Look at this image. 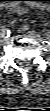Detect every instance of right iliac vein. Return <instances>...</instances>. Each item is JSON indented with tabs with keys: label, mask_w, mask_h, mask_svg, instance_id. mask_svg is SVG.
I'll list each match as a JSON object with an SVG mask.
<instances>
[{
	"label": "right iliac vein",
	"mask_w": 50,
	"mask_h": 111,
	"mask_svg": "<svg viewBox=\"0 0 50 111\" xmlns=\"http://www.w3.org/2000/svg\"><path fill=\"white\" fill-rule=\"evenodd\" d=\"M2 33V32H1ZM1 41L2 42H6L7 41V38L4 36V35H1Z\"/></svg>",
	"instance_id": "obj_1"
}]
</instances>
